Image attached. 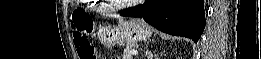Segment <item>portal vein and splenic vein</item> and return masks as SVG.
<instances>
[{"instance_id": "obj_1", "label": "portal vein and splenic vein", "mask_w": 261, "mask_h": 59, "mask_svg": "<svg viewBox=\"0 0 261 59\" xmlns=\"http://www.w3.org/2000/svg\"><path fill=\"white\" fill-rule=\"evenodd\" d=\"M131 54H132V55H138V52H137L136 50H132V51H131Z\"/></svg>"}]
</instances>
